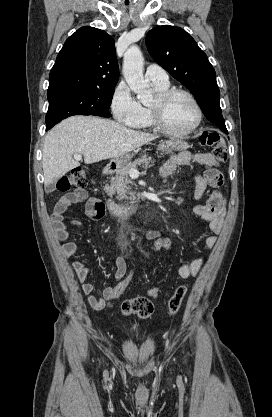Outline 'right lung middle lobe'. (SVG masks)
I'll use <instances>...</instances> for the list:
<instances>
[{
	"instance_id": "right-lung-middle-lobe-1",
	"label": "right lung middle lobe",
	"mask_w": 272,
	"mask_h": 417,
	"mask_svg": "<svg viewBox=\"0 0 272 417\" xmlns=\"http://www.w3.org/2000/svg\"><path fill=\"white\" fill-rule=\"evenodd\" d=\"M114 88L64 89L48 92L49 108L45 119L46 130L72 115L110 117L108 109Z\"/></svg>"
}]
</instances>
